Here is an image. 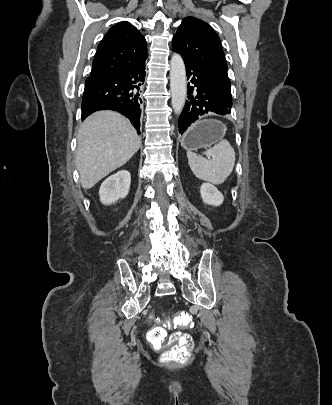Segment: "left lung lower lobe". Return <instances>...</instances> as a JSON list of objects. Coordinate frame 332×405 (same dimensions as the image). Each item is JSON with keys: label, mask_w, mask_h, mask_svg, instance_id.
I'll return each mask as SVG.
<instances>
[{"label": "left lung lower lobe", "mask_w": 332, "mask_h": 405, "mask_svg": "<svg viewBox=\"0 0 332 405\" xmlns=\"http://www.w3.org/2000/svg\"><path fill=\"white\" fill-rule=\"evenodd\" d=\"M185 62L186 73L193 86L188 83V101L179 118V133L186 129L200 116L209 112L225 115L231 112V107L224 104L218 88L209 76L189 62Z\"/></svg>", "instance_id": "obj_1"}]
</instances>
